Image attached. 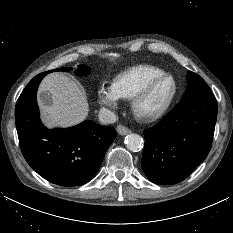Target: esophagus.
<instances>
[{
  "mask_svg": "<svg viewBox=\"0 0 233 233\" xmlns=\"http://www.w3.org/2000/svg\"><path fill=\"white\" fill-rule=\"evenodd\" d=\"M116 130L120 135H126V134H129L131 132L130 129H128L127 127H125L123 125H118Z\"/></svg>",
  "mask_w": 233,
  "mask_h": 233,
  "instance_id": "1",
  "label": "esophagus"
}]
</instances>
